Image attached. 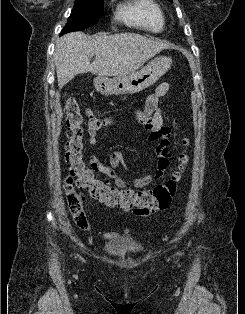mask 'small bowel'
Instances as JSON below:
<instances>
[{
    "mask_svg": "<svg viewBox=\"0 0 245 314\" xmlns=\"http://www.w3.org/2000/svg\"><path fill=\"white\" fill-rule=\"evenodd\" d=\"M169 88L170 85L167 82L159 84L146 99L143 111L135 113V117L148 132L147 142L155 145V154L159 157L155 171L127 182L117 173L118 168L124 163V153L122 151L115 150L111 152L108 165L103 164L95 155H92L90 161L93 168L102 174L107 182L113 181L119 188L132 190L133 187L142 188L149 185L154 180L163 177L167 171L170 166L172 130L164 124L162 102ZM85 113L88 117V144L90 147H95L98 133L104 127L110 125L112 121L97 119L89 107L85 108ZM97 123L99 124L97 125ZM133 213L141 217H148L151 214H142L136 211H133ZM118 236L117 232L102 233V237L107 240L115 239Z\"/></svg>",
    "mask_w": 245,
    "mask_h": 314,
    "instance_id": "1",
    "label": "small bowel"
}]
</instances>
